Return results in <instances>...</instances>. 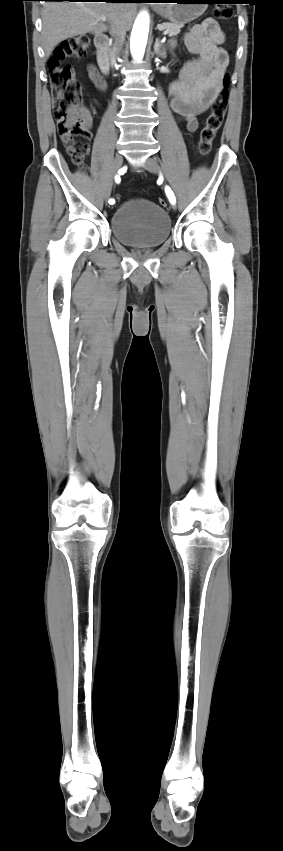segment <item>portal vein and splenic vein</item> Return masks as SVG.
I'll return each instance as SVG.
<instances>
[{
  "label": "portal vein and splenic vein",
  "mask_w": 283,
  "mask_h": 851,
  "mask_svg": "<svg viewBox=\"0 0 283 851\" xmlns=\"http://www.w3.org/2000/svg\"><path fill=\"white\" fill-rule=\"evenodd\" d=\"M98 18H99V20H101V21H106V20H107V18H106L105 16H99ZM163 34H164V35H166V34H168V32H167V31H164V32H163Z\"/></svg>",
  "instance_id": "1"
}]
</instances>
